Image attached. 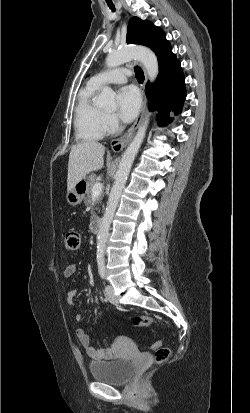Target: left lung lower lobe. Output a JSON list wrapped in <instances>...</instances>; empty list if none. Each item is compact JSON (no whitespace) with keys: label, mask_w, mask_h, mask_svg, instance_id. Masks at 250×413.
Returning a JSON list of instances; mask_svg holds the SVG:
<instances>
[{"label":"left lung lower lobe","mask_w":250,"mask_h":413,"mask_svg":"<svg viewBox=\"0 0 250 413\" xmlns=\"http://www.w3.org/2000/svg\"><path fill=\"white\" fill-rule=\"evenodd\" d=\"M158 57L159 73L155 83L146 85V95L153 97L149 109L159 112L158 124L165 126L170 122L169 112H181L186 98L185 77L179 60L172 53L171 45L167 44L160 51H154Z\"/></svg>","instance_id":"0a47b994"}]
</instances>
